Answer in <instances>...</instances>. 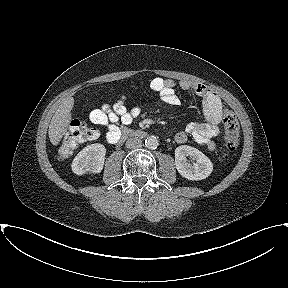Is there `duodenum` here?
<instances>
[{
    "label": "duodenum",
    "instance_id": "1",
    "mask_svg": "<svg viewBox=\"0 0 288 288\" xmlns=\"http://www.w3.org/2000/svg\"><path fill=\"white\" fill-rule=\"evenodd\" d=\"M145 136V133L142 132V131H133V130H124L121 134V137L120 139H126L128 137H144Z\"/></svg>",
    "mask_w": 288,
    "mask_h": 288
}]
</instances>
